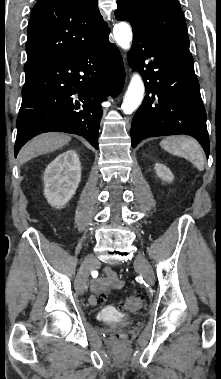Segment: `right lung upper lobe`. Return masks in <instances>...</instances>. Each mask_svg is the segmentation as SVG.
Instances as JSON below:
<instances>
[{
  "label": "right lung upper lobe",
  "instance_id": "1",
  "mask_svg": "<svg viewBox=\"0 0 221 379\" xmlns=\"http://www.w3.org/2000/svg\"><path fill=\"white\" fill-rule=\"evenodd\" d=\"M109 29L97 0H38L29 21L24 69L82 48Z\"/></svg>",
  "mask_w": 221,
  "mask_h": 379
}]
</instances>
